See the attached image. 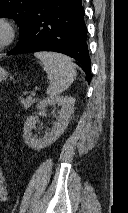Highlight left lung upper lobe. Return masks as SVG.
<instances>
[{"mask_svg":"<svg viewBox=\"0 0 128 213\" xmlns=\"http://www.w3.org/2000/svg\"><path fill=\"white\" fill-rule=\"evenodd\" d=\"M37 2L38 0H0V17L13 18L22 32L29 23Z\"/></svg>","mask_w":128,"mask_h":213,"instance_id":"left-lung-upper-lobe-1","label":"left lung upper lobe"}]
</instances>
